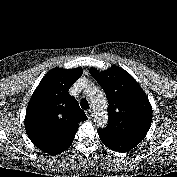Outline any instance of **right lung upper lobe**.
<instances>
[{
  "label": "right lung upper lobe",
  "mask_w": 177,
  "mask_h": 177,
  "mask_svg": "<svg viewBox=\"0 0 177 177\" xmlns=\"http://www.w3.org/2000/svg\"><path fill=\"white\" fill-rule=\"evenodd\" d=\"M81 75V68H54L43 77L29 101L24 123L34 145L47 143L55 155L71 146L79 123L87 120L68 93Z\"/></svg>",
  "instance_id": "obj_1"
}]
</instances>
